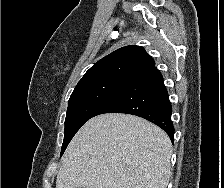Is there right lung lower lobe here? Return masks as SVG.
Masks as SVG:
<instances>
[{
  "label": "right lung lower lobe",
  "instance_id": "98d812e1",
  "mask_svg": "<svg viewBox=\"0 0 224 188\" xmlns=\"http://www.w3.org/2000/svg\"><path fill=\"white\" fill-rule=\"evenodd\" d=\"M125 113L142 117L161 127L173 142L172 108L163 77L154 66L132 79L93 115Z\"/></svg>",
  "mask_w": 224,
  "mask_h": 188
}]
</instances>
